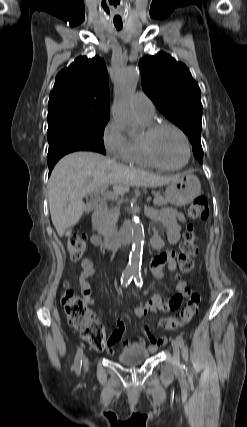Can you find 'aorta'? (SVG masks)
<instances>
[{"label":"aorta","instance_id":"obj_1","mask_svg":"<svg viewBox=\"0 0 247 427\" xmlns=\"http://www.w3.org/2000/svg\"><path fill=\"white\" fill-rule=\"evenodd\" d=\"M138 80L137 69L133 66H125L117 72L114 86L113 119L129 135H136L139 132V124L131 106ZM131 232L133 244L126 273L136 274L141 266L145 238L143 224L137 216L132 218Z\"/></svg>","mask_w":247,"mask_h":427}]
</instances>
